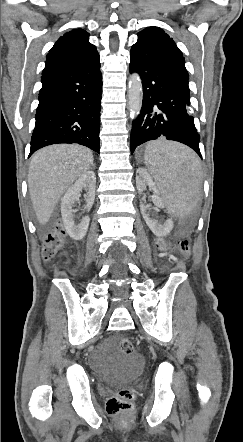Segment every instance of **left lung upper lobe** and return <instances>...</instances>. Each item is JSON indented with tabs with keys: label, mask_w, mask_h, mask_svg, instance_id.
<instances>
[{
	"label": "left lung upper lobe",
	"mask_w": 243,
	"mask_h": 442,
	"mask_svg": "<svg viewBox=\"0 0 243 442\" xmlns=\"http://www.w3.org/2000/svg\"><path fill=\"white\" fill-rule=\"evenodd\" d=\"M138 37H150L177 48L175 42L159 27H148L138 33Z\"/></svg>",
	"instance_id": "1"
}]
</instances>
